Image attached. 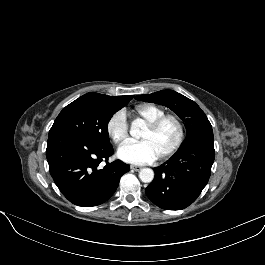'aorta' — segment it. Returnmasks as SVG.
Segmentation results:
<instances>
[{
	"instance_id": "762f6f07",
	"label": "aorta",
	"mask_w": 265,
	"mask_h": 265,
	"mask_svg": "<svg viewBox=\"0 0 265 265\" xmlns=\"http://www.w3.org/2000/svg\"><path fill=\"white\" fill-rule=\"evenodd\" d=\"M137 132V124L133 123L130 129V133L132 135L136 134ZM139 178L144 183H150L154 179V172L150 168H143L139 172Z\"/></svg>"
}]
</instances>
